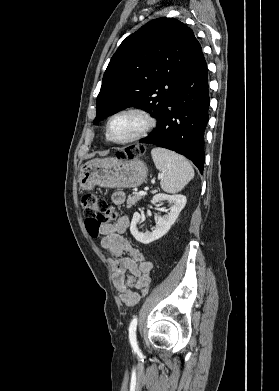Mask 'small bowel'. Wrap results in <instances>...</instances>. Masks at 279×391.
I'll return each mask as SVG.
<instances>
[{"mask_svg": "<svg viewBox=\"0 0 279 391\" xmlns=\"http://www.w3.org/2000/svg\"><path fill=\"white\" fill-rule=\"evenodd\" d=\"M125 200V194L121 191L111 195L113 205H120ZM114 207L110 208L111 215L102 223L99 229L101 247L117 259L111 260L114 285L120 293L121 300L127 306H134L141 300V290L150 284V273L153 263L145 259L143 254L132 248L123 233L129 226V217L124 215L116 223H111L114 217ZM128 253L131 257H122ZM129 272V274H128Z\"/></svg>", "mask_w": 279, "mask_h": 391, "instance_id": "small-bowel-1", "label": "small bowel"}]
</instances>
